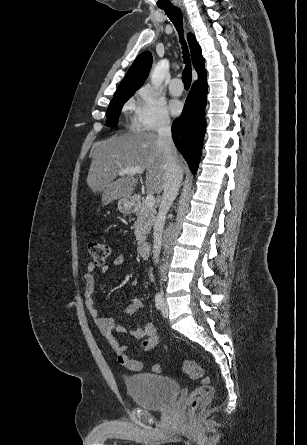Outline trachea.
I'll use <instances>...</instances> for the list:
<instances>
[{
	"label": "trachea",
	"instance_id": "1",
	"mask_svg": "<svg viewBox=\"0 0 307 445\" xmlns=\"http://www.w3.org/2000/svg\"><path fill=\"white\" fill-rule=\"evenodd\" d=\"M162 10L165 11L166 15L174 23V26L176 27V30L179 33L180 42L183 48V59L184 63L186 64L184 71L182 73V81L184 83V87L187 89L191 85L192 72H191L189 53L185 44V40L183 38V16L181 10L174 6L163 8Z\"/></svg>",
	"mask_w": 307,
	"mask_h": 445
}]
</instances>
